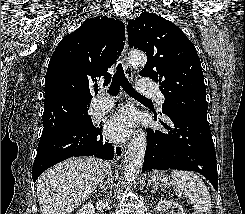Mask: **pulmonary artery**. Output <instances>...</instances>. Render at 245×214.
<instances>
[{
    "mask_svg": "<svg viewBox=\"0 0 245 214\" xmlns=\"http://www.w3.org/2000/svg\"><path fill=\"white\" fill-rule=\"evenodd\" d=\"M138 91L147 97L154 98L160 106L164 103V96L160 93L157 85L148 79H141L138 82ZM115 98L102 93L100 99L95 103V115L101 116L108 112L114 105Z\"/></svg>",
    "mask_w": 245,
    "mask_h": 214,
    "instance_id": "obj_1",
    "label": "pulmonary artery"
}]
</instances>
